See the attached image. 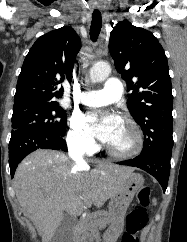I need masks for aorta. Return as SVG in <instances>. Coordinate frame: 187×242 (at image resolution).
<instances>
[{"label":"aorta","instance_id":"obj_1","mask_svg":"<svg viewBox=\"0 0 187 242\" xmlns=\"http://www.w3.org/2000/svg\"><path fill=\"white\" fill-rule=\"evenodd\" d=\"M111 73V67L108 63L98 62L92 66L90 69V79L92 82H102Z\"/></svg>","mask_w":187,"mask_h":242}]
</instances>
